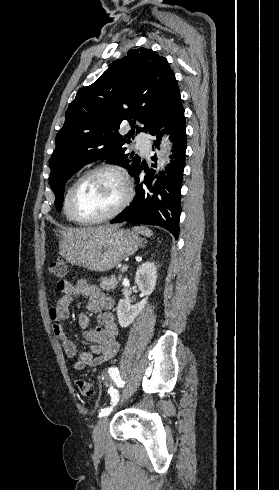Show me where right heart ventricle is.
Here are the masks:
<instances>
[{"label": "right heart ventricle", "instance_id": "e07e8e85", "mask_svg": "<svg viewBox=\"0 0 279 490\" xmlns=\"http://www.w3.org/2000/svg\"><path fill=\"white\" fill-rule=\"evenodd\" d=\"M77 178L78 177L75 176L68 181L66 188H65V191H64V196H63V206H62L63 215H64L65 219L70 223H75V221L71 215V212H70V197H71V191H72L73 185L76 182Z\"/></svg>", "mask_w": 279, "mask_h": 490}]
</instances>
